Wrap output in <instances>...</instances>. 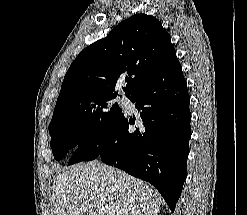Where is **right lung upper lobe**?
I'll return each instance as SVG.
<instances>
[{
  "mask_svg": "<svg viewBox=\"0 0 247 215\" xmlns=\"http://www.w3.org/2000/svg\"><path fill=\"white\" fill-rule=\"evenodd\" d=\"M172 50L171 37L160 21L145 14L131 16L79 53L64 77L54 112L98 95H117L113 91L122 77L128 96Z\"/></svg>",
  "mask_w": 247,
  "mask_h": 215,
  "instance_id": "1",
  "label": "right lung upper lobe"
}]
</instances>
